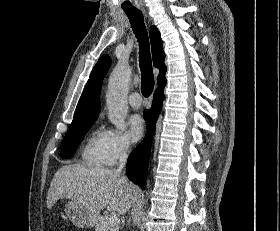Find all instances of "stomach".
Segmentation results:
<instances>
[{
    "label": "stomach",
    "mask_w": 280,
    "mask_h": 231,
    "mask_svg": "<svg viewBox=\"0 0 280 231\" xmlns=\"http://www.w3.org/2000/svg\"><path fill=\"white\" fill-rule=\"evenodd\" d=\"M65 213L70 221L74 225H78V227H93L96 223L88 207H84V205L77 203V201H67L65 203Z\"/></svg>",
    "instance_id": "stomach-1"
}]
</instances>
